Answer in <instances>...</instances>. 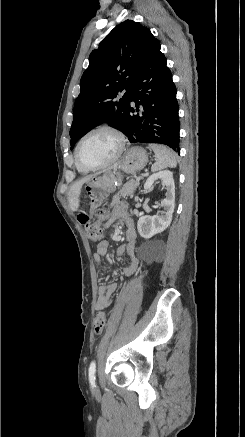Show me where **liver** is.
Here are the masks:
<instances>
[{
    "label": "liver",
    "instance_id": "liver-1",
    "mask_svg": "<svg viewBox=\"0 0 245 437\" xmlns=\"http://www.w3.org/2000/svg\"><path fill=\"white\" fill-rule=\"evenodd\" d=\"M91 176H87L82 178L81 180L77 181L76 183L73 184V186L71 187L69 193H68V201H69V205H70V209L72 211H77L79 208V202H80V194H81V189L84 183H86Z\"/></svg>",
    "mask_w": 245,
    "mask_h": 437
}]
</instances>
